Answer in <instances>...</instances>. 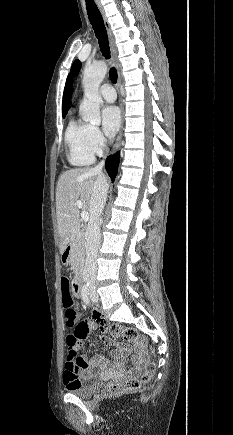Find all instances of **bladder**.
<instances>
[{
    "label": "bladder",
    "instance_id": "obj_1",
    "mask_svg": "<svg viewBox=\"0 0 233 435\" xmlns=\"http://www.w3.org/2000/svg\"><path fill=\"white\" fill-rule=\"evenodd\" d=\"M101 388V385L97 382H88L83 384L82 386L75 387L69 391L70 394L79 396V397H90L96 392H98Z\"/></svg>",
    "mask_w": 233,
    "mask_h": 435
}]
</instances>
